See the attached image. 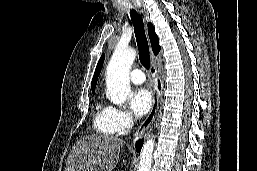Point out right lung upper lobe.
<instances>
[{"mask_svg": "<svg viewBox=\"0 0 257 171\" xmlns=\"http://www.w3.org/2000/svg\"><path fill=\"white\" fill-rule=\"evenodd\" d=\"M148 34H149V38L151 41V46H152L153 52L155 55H157L158 52L160 51L159 39H158V36L155 34L154 26L151 23L148 24ZM104 58H105V56L102 55L97 64V67H96V70H95V73H94V76L92 79L91 89H92L93 93H94V87L96 86V83H97V78H98V76L101 72V68L103 66Z\"/></svg>", "mask_w": 257, "mask_h": 171, "instance_id": "obj_1", "label": "right lung upper lobe"}]
</instances>
